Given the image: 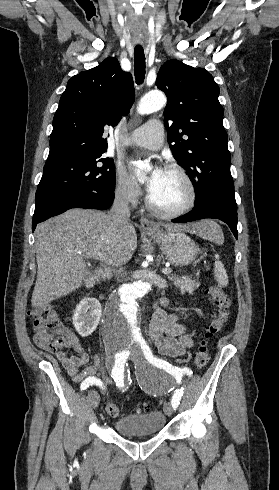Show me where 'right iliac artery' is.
<instances>
[{"label":"right iliac artery","instance_id":"right-iliac-artery-1","mask_svg":"<svg viewBox=\"0 0 279 490\" xmlns=\"http://www.w3.org/2000/svg\"><path fill=\"white\" fill-rule=\"evenodd\" d=\"M110 358H111V363L114 366L112 369V377L114 378L115 381H118L119 376L124 371V366L128 359V354L127 352H112ZM80 383L81 385L79 388L81 391L87 390L88 388H92L94 385L102 386L101 378L93 377V376L85 377V379L81 380Z\"/></svg>","mask_w":279,"mask_h":490}]
</instances>
